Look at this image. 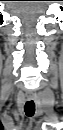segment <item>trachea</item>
I'll list each match as a JSON object with an SVG mask.
<instances>
[{"instance_id": "1", "label": "trachea", "mask_w": 63, "mask_h": 130, "mask_svg": "<svg viewBox=\"0 0 63 130\" xmlns=\"http://www.w3.org/2000/svg\"><path fill=\"white\" fill-rule=\"evenodd\" d=\"M25 113L28 117H32L35 113V104L32 100L27 101L25 104Z\"/></svg>"}]
</instances>
